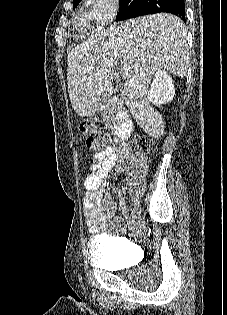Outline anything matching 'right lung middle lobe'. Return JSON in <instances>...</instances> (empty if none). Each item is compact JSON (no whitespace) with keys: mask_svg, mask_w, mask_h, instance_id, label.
Segmentation results:
<instances>
[{"mask_svg":"<svg viewBox=\"0 0 227 315\" xmlns=\"http://www.w3.org/2000/svg\"><path fill=\"white\" fill-rule=\"evenodd\" d=\"M80 1H81V0H76V1H74V2H73V8H76ZM130 1H132V0H120V5H122L123 3H126V2L129 3Z\"/></svg>","mask_w":227,"mask_h":315,"instance_id":"obj_1","label":"right lung middle lobe"}]
</instances>
